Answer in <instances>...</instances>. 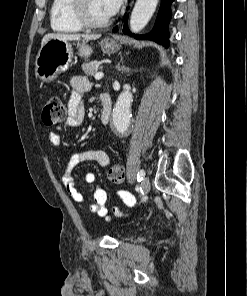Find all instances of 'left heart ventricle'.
Here are the masks:
<instances>
[{
	"mask_svg": "<svg viewBox=\"0 0 247 296\" xmlns=\"http://www.w3.org/2000/svg\"><path fill=\"white\" fill-rule=\"evenodd\" d=\"M86 12L88 18L94 22H102L109 18L104 11L101 0H87Z\"/></svg>",
	"mask_w": 247,
	"mask_h": 296,
	"instance_id": "obj_1",
	"label": "left heart ventricle"
}]
</instances>
